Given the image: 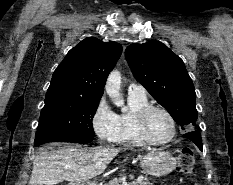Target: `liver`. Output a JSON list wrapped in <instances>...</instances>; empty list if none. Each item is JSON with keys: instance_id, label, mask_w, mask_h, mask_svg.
I'll list each match as a JSON object with an SVG mask.
<instances>
[{"instance_id": "liver-1", "label": "liver", "mask_w": 233, "mask_h": 185, "mask_svg": "<svg viewBox=\"0 0 233 185\" xmlns=\"http://www.w3.org/2000/svg\"><path fill=\"white\" fill-rule=\"evenodd\" d=\"M120 152L118 148H78L59 146L57 150L41 149L33 161L28 185H54L64 180L75 185L100 175ZM65 165L78 168L65 169Z\"/></svg>"}]
</instances>
